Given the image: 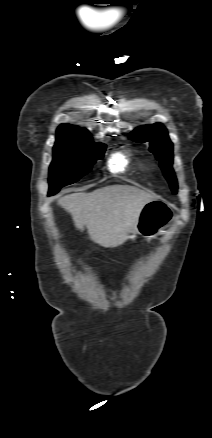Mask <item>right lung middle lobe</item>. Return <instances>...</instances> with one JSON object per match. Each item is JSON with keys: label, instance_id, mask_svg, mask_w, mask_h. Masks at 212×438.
Instances as JSON below:
<instances>
[{"label": "right lung middle lobe", "instance_id": "obj_1", "mask_svg": "<svg viewBox=\"0 0 212 438\" xmlns=\"http://www.w3.org/2000/svg\"><path fill=\"white\" fill-rule=\"evenodd\" d=\"M106 145L90 139H57L54 157L49 169V193L55 194L62 187L77 182L87 174L97 159H102Z\"/></svg>", "mask_w": 212, "mask_h": 438}]
</instances>
